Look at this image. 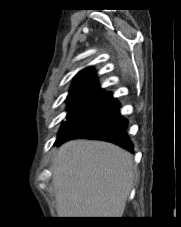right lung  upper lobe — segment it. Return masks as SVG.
Here are the masks:
<instances>
[{
  "label": "right lung upper lobe",
  "instance_id": "obj_1",
  "mask_svg": "<svg viewBox=\"0 0 181 227\" xmlns=\"http://www.w3.org/2000/svg\"><path fill=\"white\" fill-rule=\"evenodd\" d=\"M94 93H103V90L97 85L95 71L86 68L75 76L68 98Z\"/></svg>",
  "mask_w": 181,
  "mask_h": 227
}]
</instances>
